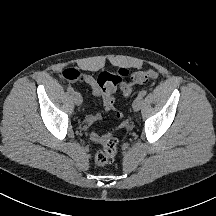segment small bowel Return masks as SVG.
I'll list each match as a JSON object with an SVG mask.
<instances>
[{
  "label": "small bowel",
  "instance_id": "1",
  "mask_svg": "<svg viewBox=\"0 0 216 216\" xmlns=\"http://www.w3.org/2000/svg\"><path fill=\"white\" fill-rule=\"evenodd\" d=\"M80 80L82 83L88 85L89 87H91L92 89V93L94 96L96 97H103V93L100 89V87L98 86L97 81L95 80V78L89 74H81L80 78L78 79ZM104 108L106 110H110L109 108H107L104 104ZM101 118V115L99 113H89L86 116V124L87 125H93L94 123H96L97 121H99ZM109 135H105V134H101L99 132L96 131H92L90 133V139L93 142L96 143H102V141Z\"/></svg>",
  "mask_w": 216,
  "mask_h": 216
}]
</instances>
